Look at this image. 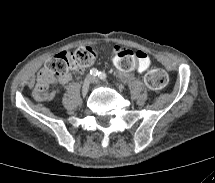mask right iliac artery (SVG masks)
I'll use <instances>...</instances> for the list:
<instances>
[{"mask_svg":"<svg viewBox=\"0 0 215 183\" xmlns=\"http://www.w3.org/2000/svg\"><path fill=\"white\" fill-rule=\"evenodd\" d=\"M98 73H99L98 70L95 69V68H93V69L90 70V74L93 75V76H97Z\"/></svg>","mask_w":215,"mask_h":183,"instance_id":"right-iliac-artery-1","label":"right iliac artery"}]
</instances>
